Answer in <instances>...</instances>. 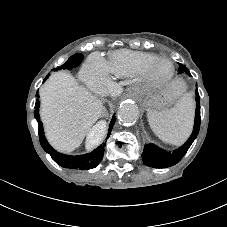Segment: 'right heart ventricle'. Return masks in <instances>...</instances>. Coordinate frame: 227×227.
I'll use <instances>...</instances> for the list:
<instances>
[{
	"mask_svg": "<svg viewBox=\"0 0 227 227\" xmlns=\"http://www.w3.org/2000/svg\"><path fill=\"white\" fill-rule=\"evenodd\" d=\"M154 58L152 53L124 50L118 54L112 70L118 75H130L148 66Z\"/></svg>",
	"mask_w": 227,
	"mask_h": 227,
	"instance_id": "e07e8e85",
	"label": "right heart ventricle"
}]
</instances>
